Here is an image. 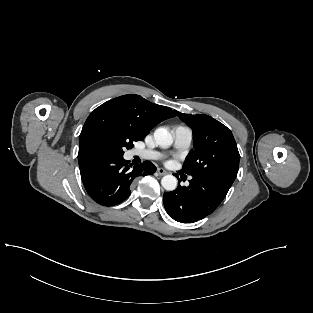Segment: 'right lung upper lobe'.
<instances>
[{
    "label": "right lung upper lobe",
    "mask_w": 313,
    "mask_h": 313,
    "mask_svg": "<svg viewBox=\"0 0 313 313\" xmlns=\"http://www.w3.org/2000/svg\"><path fill=\"white\" fill-rule=\"evenodd\" d=\"M175 115L171 108L135 94L109 100L87 118L80 134L78 160L101 154L105 135L114 125L129 127L143 140L158 123Z\"/></svg>",
    "instance_id": "1"
}]
</instances>
